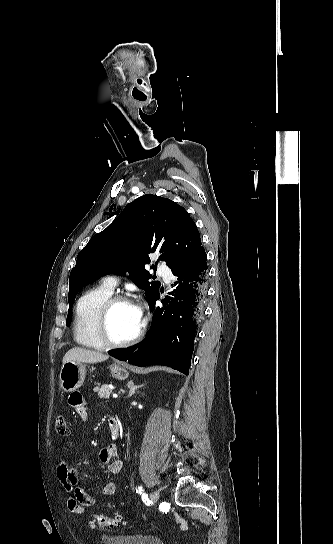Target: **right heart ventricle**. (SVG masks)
I'll return each instance as SVG.
<instances>
[{
    "instance_id": "e07e8e85",
    "label": "right heart ventricle",
    "mask_w": 333,
    "mask_h": 544,
    "mask_svg": "<svg viewBox=\"0 0 333 544\" xmlns=\"http://www.w3.org/2000/svg\"><path fill=\"white\" fill-rule=\"evenodd\" d=\"M113 291L103 284L84 292L75 307L73 334L75 341L84 347L103 349L96 331V321L103 303L112 296Z\"/></svg>"
}]
</instances>
